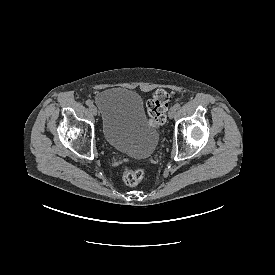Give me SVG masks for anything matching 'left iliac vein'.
Returning <instances> with one entry per match:
<instances>
[{
	"mask_svg": "<svg viewBox=\"0 0 275 275\" xmlns=\"http://www.w3.org/2000/svg\"><path fill=\"white\" fill-rule=\"evenodd\" d=\"M175 114H176V109L174 107H171L168 113L169 118L175 117Z\"/></svg>",
	"mask_w": 275,
	"mask_h": 275,
	"instance_id": "4c4485c4",
	"label": "left iliac vein"
}]
</instances>
